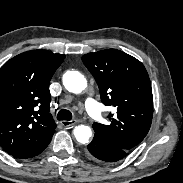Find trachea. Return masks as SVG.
<instances>
[{
	"label": "trachea",
	"mask_w": 183,
	"mask_h": 183,
	"mask_svg": "<svg viewBox=\"0 0 183 183\" xmlns=\"http://www.w3.org/2000/svg\"><path fill=\"white\" fill-rule=\"evenodd\" d=\"M58 120L70 121L72 119V113L69 110L61 109L57 113Z\"/></svg>",
	"instance_id": "trachea-1"
}]
</instances>
